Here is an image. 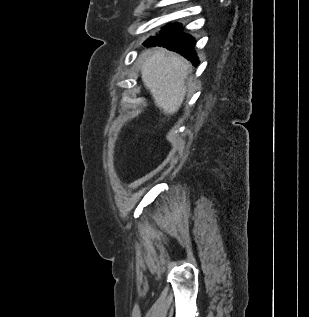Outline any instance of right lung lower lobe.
<instances>
[{
	"label": "right lung lower lobe",
	"instance_id": "obj_1",
	"mask_svg": "<svg viewBox=\"0 0 309 317\" xmlns=\"http://www.w3.org/2000/svg\"><path fill=\"white\" fill-rule=\"evenodd\" d=\"M147 47L163 46L169 50L176 51L189 61L194 66H198L199 61L194 51L195 40L188 34L182 32L180 24H172L165 27L155 37H150L144 42Z\"/></svg>",
	"mask_w": 309,
	"mask_h": 317
}]
</instances>
